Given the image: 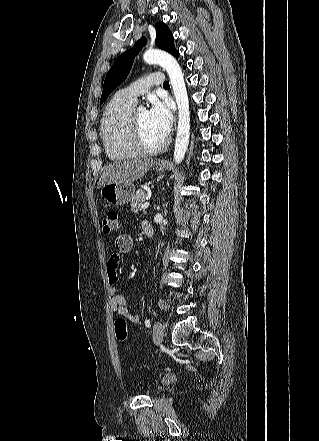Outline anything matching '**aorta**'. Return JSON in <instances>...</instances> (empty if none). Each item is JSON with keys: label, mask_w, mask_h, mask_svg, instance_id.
Segmentation results:
<instances>
[{"label": "aorta", "mask_w": 319, "mask_h": 441, "mask_svg": "<svg viewBox=\"0 0 319 441\" xmlns=\"http://www.w3.org/2000/svg\"><path fill=\"white\" fill-rule=\"evenodd\" d=\"M148 64H159L170 78L178 106V128L174 149V160L181 163L185 157L190 136V111L184 76L177 60L168 52L160 49H148L143 55Z\"/></svg>", "instance_id": "762f6f07"}]
</instances>
